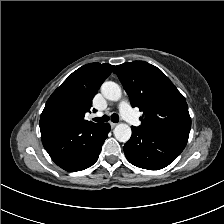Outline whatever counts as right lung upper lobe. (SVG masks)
<instances>
[{
  "label": "right lung upper lobe",
  "instance_id": "right-lung-upper-lobe-1",
  "mask_svg": "<svg viewBox=\"0 0 224 224\" xmlns=\"http://www.w3.org/2000/svg\"><path fill=\"white\" fill-rule=\"evenodd\" d=\"M113 68V65L107 63H90L74 71L49 97L41 118L52 107L60 106L66 112L67 122L95 124L85 120L84 116L90 111L93 97Z\"/></svg>",
  "mask_w": 224,
  "mask_h": 224
}]
</instances>
